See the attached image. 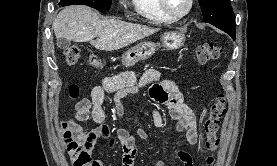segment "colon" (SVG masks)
I'll list each match as a JSON object with an SVG mask.
<instances>
[{
    "instance_id": "5ec220e1",
    "label": "colon",
    "mask_w": 277,
    "mask_h": 166,
    "mask_svg": "<svg viewBox=\"0 0 277 166\" xmlns=\"http://www.w3.org/2000/svg\"><path fill=\"white\" fill-rule=\"evenodd\" d=\"M222 54V48L212 42L204 43L196 49V60L199 64H206L217 60ZM64 58L69 66H74L80 59V50L76 45L65 48ZM89 63L93 67H100L101 61L91 55ZM72 98L79 96V88L73 84L69 88ZM226 113V99L223 94H219L210 106L208 117L205 119L203 128L205 132L204 147L208 152L205 164L206 166H214L216 163L215 152L219 146L218 130L220 121ZM62 131L67 152L73 163V166H90L92 159L82 151V140L84 132L82 128L72 121L62 122Z\"/></svg>"
}]
</instances>
